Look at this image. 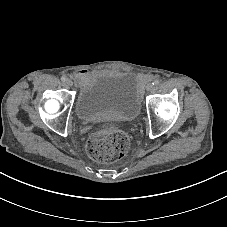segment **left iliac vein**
Wrapping results in <instances>:
<instances>
[{
  "instance_id": "left-iliac-vein-1",
  "label": "left iliac vein",
  "mask_w": 227,
  "mask_h": 227,
  "mask_svg": "<svg viewBox=\"0 0 227 227\" xmlns=\"http://www.w3.org/2000/svg\"><path fill=\"white\" fill-rule=\"evenodd\" d=\"M146 88H147V90H151V89H153V84H148L147 86H146Z\"/></svg>"
}]
</instances>
